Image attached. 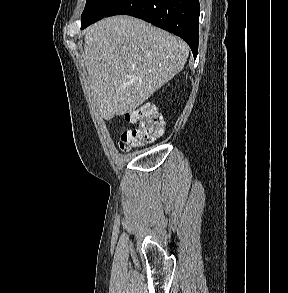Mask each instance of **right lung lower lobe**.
I'll use <instances>...</instances> for the list:
<instances>
[{"mask_svg": "<svg viewBox=\"0 0 288 293\" xmlns=\"http://www.w3.org/2000/svg\"><path fill=\"white\" fill-rule=\"evenodd\" d=\"M126 14L180 36L198 52L199 0H123L105 17Z\"/></svg>", "mask_w": 288, "mask_h": 293, "instance_id": "1", "label": "right lung lower lobe"}]
</instances>
